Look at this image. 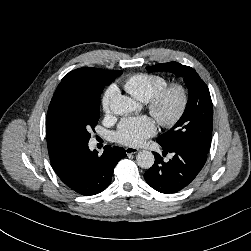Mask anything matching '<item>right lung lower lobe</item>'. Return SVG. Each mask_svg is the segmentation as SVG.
<instances>
[{"label":"right lung lower lobe","mask_w":251,"mask_h":251,"mask_svg":"<svg viewBox=\"0 0 251 251\" xmlns=\"http://www.w3.org/2000/svg\"><path fill=\"white\" fill-rule=\"evenodd\" d=\"M126 156L117 146H105L102 155L90 151L88 143L75 144L51 161L60 180L72 191L83 196L105 190L112 179L116 164Z\"/></svg>","instance_id":"98d812e1"}]
</instances>
